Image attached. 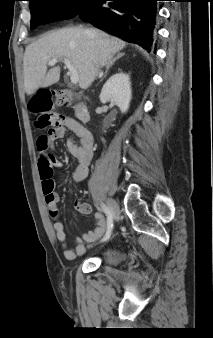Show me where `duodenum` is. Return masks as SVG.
I'll return each mask as SVG.
<instances>
[{
    "label": "duodenum",
    "mask_w": 213,
    "mask_h": 338,
    "mask_svg": "<svg viewBox=\"0 0 213 338\" xmlns=\"http://www.w3.org/2000/svg\"><path fill=\"white\" fill-rule=\"evenodd\" d=\"M77 118L83 123H89L91 120L90 112L83 104H77L75 107Z\"/></svg>",
    "instance_id": "obj_1"
}]
</instances>
